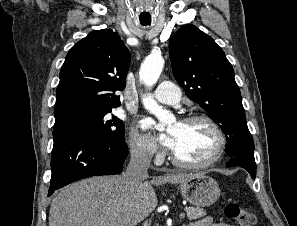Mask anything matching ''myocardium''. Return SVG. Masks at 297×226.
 Returning a JSON list of instances; mask_svg holds the SVG:
<instances>
[{"label": "myocardium", "instance_id": "f54148a6", "mask_svg": "<svg viewBox=\"0 0 297 226\" xmlns=\"http://www.w3.org/2000/svg\"><path fill=\"white\" fill-rule=\"evenodd\" d=\"M198 121L206 123L215 132L218 140L216 148L210 158L200 163H190L182 161L176 156V154L172 150L170 152V160L177 167L190 170L206 169L217 163L223 155L227 143L226 135L222 128L219 126V124L213 118L205 114H191L181 119V123H190Z\"/></svg>", "mask_w": 297, "mask_h": 226}]
</instances>
